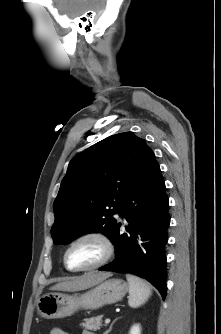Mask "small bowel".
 Here are the masks:
<instances>
[{"label": "small bowel", "mask_w": 221, "mask_h": 334, "mask_svg": "<svg viewBox=\"0 0 221 334\" xmlns=\"http://www.w3.org/2000/svg\"><path fill=\"white\" fill-rule=\"evenodd\" d=\"M49 334H69L68 332L64 331L63 329L59 328V327H54L51 329ZM82 334H94L90 331H83Z\"/></svg>", "instance_id": "c3829d8e"}]
</instances>
